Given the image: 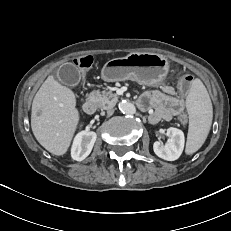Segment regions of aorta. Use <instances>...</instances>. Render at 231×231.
I'll return each instance as SVG.
<instances>
[{
    "instance_id": "aorta-1",
    "label": "aorta",
    "mask_w": 231,
    "mask_h": 231,
    "mask_svg": "<svg viewBox=\"0 0 231 231\" xmlns=\"http://www.w3.org/2000/svg\"><path fill=\"white\" fill-rule=\"evenodd\" d=\"M119 110L124 114L132 115L136 112V107L128 101H122L119 103Z\"/></svg>"
}]
</instances>
